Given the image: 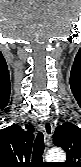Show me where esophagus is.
Returning <instances> with one entry per match:
<instances>
[{
    "mask_svg": "<svg viewBox=\"0 0 81 167\" xmlns=\"http://www.w3.org/2000/svg\"><path fill=\"white\" fill-rule=\"evenodd\" d=\"M40 129L42 130L44 137H45V142L48 145L50 143V139H51L52 131H53L51 120L50 119L44 120L40 124Z\"/></svg>",
    "mask_w": 81,
    "mask_h": 167,
    "instance_id": "1",
    "label": "esophagus"
}]
</instances>
